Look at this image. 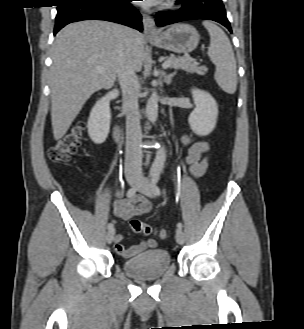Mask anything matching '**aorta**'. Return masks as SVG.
<instances>
[{
    "label": "aorta",
    "mask_w": 304,
    "mask_h": 329,
    "mask_svg": "<svg viewBox=\"0 0 304 329\" xmlns=\"http://www.w3.org/2000/svg\"><path fill=\"white\" fill-rule=\"evenodd\" d=\"M158 95L156 91L153 90L152 95L148 99L147 105H146V117L148 120L155 124L158 117ZM166 158V152L164 148H161L156 153L155 161L152 165L153 171H160L163 168L164 162Z\"/></svg>",
    "instance_id": "obj_1"
}]
</instances>
